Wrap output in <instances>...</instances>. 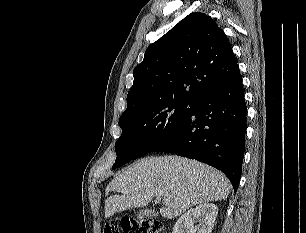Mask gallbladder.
I'll return each instance as SVG.
<instances>
[{"mask_svg": "<svg viewBox=\"0 0 306 233\" xmlns=\"http://www.w3.org/2000/svg\"><path fill=\"white\" fill-rule=\"evenodd\" d=\"M149 214L150 212L148 210L140 209L138 212H136L135 217L137 219H142V218H146Z\"/></svg>", "mask_w": 306, "mask_h": 233, "instance_id": "gallbladder-1", "label": "gallbladder"}]
</instances>
